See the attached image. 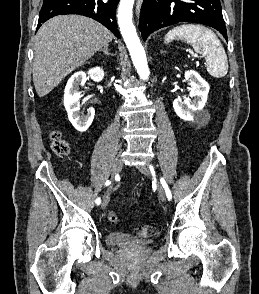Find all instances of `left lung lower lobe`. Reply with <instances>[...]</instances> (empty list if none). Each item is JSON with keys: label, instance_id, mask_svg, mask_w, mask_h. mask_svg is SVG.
Listing matches in <instances>:
<instances>
[{"label": "left lung lower lobe", "instance_id": "obj_1", "mask_svg": "<svg viewBox=\"0 0 259 294\" xmlns=\"http://www.w3.org/2000/svg\"><path fill=\"white\" fill-rule=\"evenodd\" d=\"M179 22L200 23L217 29L226 40L227 32L220 0H144L139 30L142 38Z\"/></svg>", "mask_w": 259, "mask_h": 294}]
</instances>
